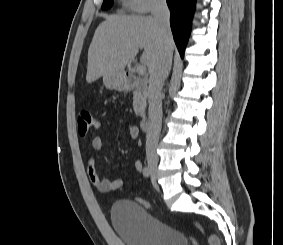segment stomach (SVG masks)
Returning <instances> with one entry per match:
<instances>
[{
	"mask_svg": "<svg viewBox=\"0 0 283 245\" xmlns=\"http://www.w3.org/2000/svg\"><path fill=\"white\" fill-rule=\"evenodd\" d=\"M103 82L108 89H122L125 86V78L122 73H106L103 76Z\"/></svg>",
	"mask_w": 283,
	"mask_h": 245,
	"instance_id": "0dacf381",
	"label": "stomach"
}]
</instances>
